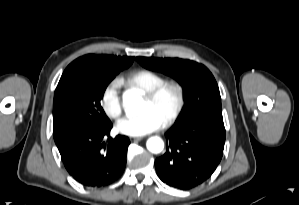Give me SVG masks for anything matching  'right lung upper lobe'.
<instances>
[{
	"mask_svg": "<svg viewBox=\"0 0 299 205\" xmlns=\"http://www.w3.org/2000/svg\"><path fill=\"white\" fill-rule=\"evenodd\" d=\"M134 57H117L113 55H85L73 61L69 67H80L84 69H124L129 67Z\"/></svg>",
	"mask_w": 299,
	"mask_h": 205,
	"instance_id": "1",
	"label": "right lung upper lobe"
}]
</instances>
